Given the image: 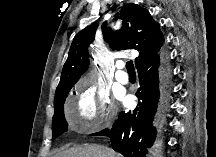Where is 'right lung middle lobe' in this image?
<instances>
[{
    "label": "right lung middle lobe",
    "mask_w": 216,
    "mask_h": 157,
    "mask_svg": "<svg viewBox=\"0 0 216 157\" xmlns=\"http://www.w3.org/2000/svg\"><path fill=\"white\" fill-rule=\"evenodd\" d=\"M70 88L64 89L54 100V110L55 114L53 116L52 122V132H53V139L60 136L63 132L67 131V122L64 117V107L63 104L65 99L70 91Z\"/></svg>",
    "instance_id": "right-lung-middle-lobe-1"
}]
</instances>
